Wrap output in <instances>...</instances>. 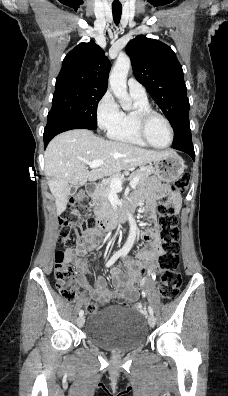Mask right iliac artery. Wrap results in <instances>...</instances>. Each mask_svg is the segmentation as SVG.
Instances as JSON below:
<instances>
[{
	"mask_svg": "<svg viewBox=\"0 0 228 396\" xmlns=\"http://www.w3.org/2000/svg\"><path fill=\"white\" fill-rule=\"evenodd\" d=\"M123 253H124V252H122V251L116 252V253L110 258V260L106 263V267L112 266V265L117 261V259H118L120 256L123 255ZM83 314H84V311H83V310H80V311H79V315L81 316V315H83Z\"/></svg>",
	"mask_w": 228,
	"mask_h": 396,
	"instance_id": "82829eb1",
	"label": "right iliac artery"
}]
</instances>
